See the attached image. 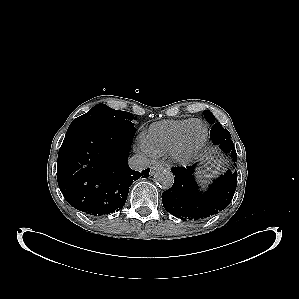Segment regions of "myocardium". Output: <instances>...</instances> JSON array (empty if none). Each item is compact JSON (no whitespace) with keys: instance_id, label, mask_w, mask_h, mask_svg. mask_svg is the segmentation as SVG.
<instances>
[{"instance_id":"1","label":"myocardium","mask_w":299,"mask_h":299,"mask_svg":"<svg viewBox=\"0 0 299 299\" xmlns=\"http://www.w3.org/2000/svg\"><path fill=\"white\" fill-rule=\"evenodd\" d=\"M193 123H200L204 127V136L201 143L192 151H185L184 138L190 125ZM208 140V127L206 123L200 119H191L180 131L171 149L168 151L169 156L176 163L186 165L192 162L204 149Z\"/></svg>"}]
</instances>
